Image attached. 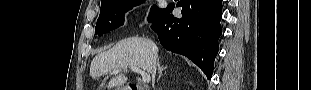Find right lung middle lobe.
<instances>
[{
    "mask_svg": "<svg viewBox=\"0 0 311 90\" xmlns=\"http://www.w3.org/2000/svg\"><path fill=\"white\" fill-rule=\"evenodd\" d=\"M143 1L144 0H108L105 3H102L100 15L95 27V34L101 36L103 33H107L122 25L124 22V13L130 10L133 6L143 3ZM164 11L165 9H160L154 5L151 8L148 21H157Z\"/></svg>",
    "mask_w": 311,
    "mask_h": 90,
    "instance_id": "dd1d6c3e",
    "label": "right lung middle lobe"
}]
</instances>
